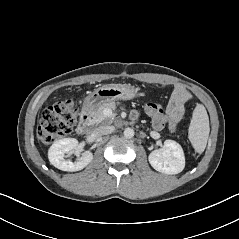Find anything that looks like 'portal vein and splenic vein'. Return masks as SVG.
I'll return each instance as SVG.
<instances>
[{"mask_svg":"<svg viewBox=\"0 0 239 239\" xmlns=\"http://www.w3.org/2000/svg\"><path fill=\"white\" fill-rule=\"evenodd\" d=\"M104 115L109 116L110 115L109 110H105Z\"/></svg>","mask_w":239,"mask_h":239,"instance_id":"portal-vein-and-splenic-vein-1","label":"portal vein and splenic vein"}]
</instances>
